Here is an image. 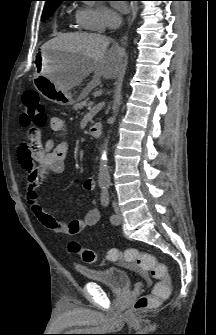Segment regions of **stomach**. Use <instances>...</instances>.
<instances>
[{"label": "stomach", "mask_w": 216, "mask_h": 335, "mask_svg": "<svg viewBox=\"0 0 216 335\" xmlns=\"http://www.w3.org/2000/svg\"><path fill=\"white\" fill-rule=\"evenodd\" d=\"M71 61L70 53L51 49H41L36 56L38 70L34 78L36 89L47 100L62 106L73 105V95L69 90L61 89L52 77L64 72Z\"/></svg>", "instance_id": "0dacf381"}]
</instances>
